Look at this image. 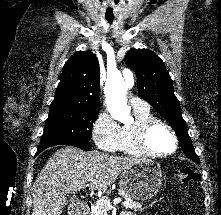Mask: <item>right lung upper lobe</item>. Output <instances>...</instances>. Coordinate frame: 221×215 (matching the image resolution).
I'll return each mask as SVG.
<instances>
[{
    "mask_svg": "<svg viewBox=\"0 0 221 215\" xmlns=\"http://www.w3.org/2000/svg\"><path fill=\"white\" fill-rule=\"evenodd\" d=\"M100 70L89 51L73 54L65 63L49 113L63 110H98Z\"/></svg>",
    "mask_w": 221,
    "mask_h": 215,
    "instance_id": "cb5924a9",
    "label": "right lung upper lobe"
}]
</instances>
